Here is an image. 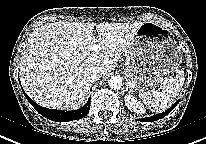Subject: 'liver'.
Instances as JSON below:
<instances>
[{"label": "liver", "mask_w": 206, "mask_h": 144, "mask_svg": "<svg viewBox=\"0 0 206 144\" xmlns=\"http://www.w3.org/2000/svg\"><path fill=\"white\" fill-rule=\"evenodd\" d=\"M142 24L59 21L39 27L29 37L20 61L25 92L46 108H79L90 90L89 70L99 69L102 75L113 71ZM96 43L102 53L89 49Z\"/></svg>", "instance_id": "6515ba94"}]
</instances>
